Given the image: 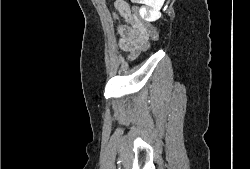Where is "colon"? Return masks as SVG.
<instances>
[{
    "instance_id": "1",
    "label": "colon",
    "mask_w": 250,
    "mask_h": 169,
    "mask_svg": "<svg viewBox=\"0 0 250 169\" xmlns=\"http://www.w3.org/2000/svg\"><path fill=\"white\" fill-rule=\"evenodd\" d=\"M117 7L124 13L129 15V9L127 7V5L123 2V1H118L117 2ZM133 11L134 13H136V19L137 21L140 23V25H144L141 26L139 28V32L137 35V42L140 43H145L147 41L148 38H152V39H157L158 34L157 31L155 30V26L153 25V23H149V20H147L146 18H144L143 16V10H141L140 5H133Z\"/></svg>"
}]
</instances>
